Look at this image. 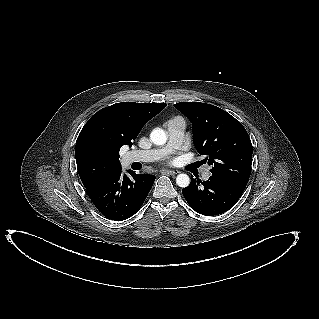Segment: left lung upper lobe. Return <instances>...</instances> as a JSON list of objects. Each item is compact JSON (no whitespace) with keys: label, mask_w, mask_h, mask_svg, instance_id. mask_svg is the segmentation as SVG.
Returning a JSON list of instances; mask_svg holds the SVG:
<instances>
[{"label":"left lung upper lobe","mask_w":319,"mask_h":319,"mask_svg":"<svg viewBox=\"0 0 319 319\" xmlns=\"http://www.w3.org/2000/svg\"><path fill=\"white\" fill-rule=\"evenodd\" d=\"M192 123L194 144L212 175L245 188L251 173L252 144L243 125L226 111L206 103L174 105Z\"/></svg>","instance_id":"obj_1"}]
</instances>
